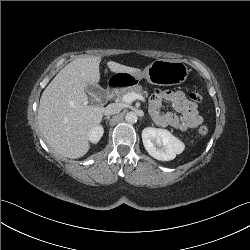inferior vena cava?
Instances as JSON below:
<instances>
[{
	"label": "inferior vena cava",
	"mask_w": 250,
	"mask_h": 250,
	"mask_svg": "<svg viewBox=\"0 0 250 250\" xmlns=\"http://www.w3.org/2000/svg\"><path fill=\"white\" fill-rule=\"evenodd\" d=\"M122 107L118 103L109 104L105 110L104 114L107 116L117 114L121 111Z\"/></svg>",
	"instance_id": "obj_1"
}]
</instances>
